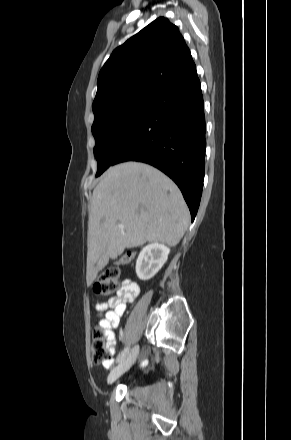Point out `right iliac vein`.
I'll return each mask as SVG.
<instances>
[{
	"label": "right iliac vein",
	"mask_w": 291,
	"mask_h": 440,
	"mask_svg": "<svg viewBox=\"0 0 291 440\" xmlns=\"http://www.w3.org/2000/svg\"><path fill=\"white\" fill-rule=\"evenodd\" d=\"M139 353L138 346H135L126 358H124L118 366H116L108 376V384H112L123 373H125L134 364Z\"/></svg>",
	"instance_id": "obj_1"
}]
</instances>
